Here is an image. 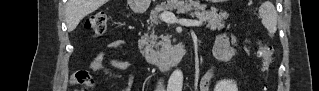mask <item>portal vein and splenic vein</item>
I'll use <instances>...</instances> for the list:
<instances>
[{"mask_svg":"<svg viewBox=\"0 0 319 91\" xmlns=\"http://www.w3.org/2000/svg\"><path fill=\"white\" fill-rule=\"evenodd\" d=\"M161 18L166 23H179L185 26H196V27H199L202 25L201 22L196 20H178L176 16L171 12L161 13Z\"/></svg>","mask_w":319,"mask_h":91,"instance_id":"portal-vein-and-splenic-vein-1","label":"portal vein and splenic vein"}]
</instances>
